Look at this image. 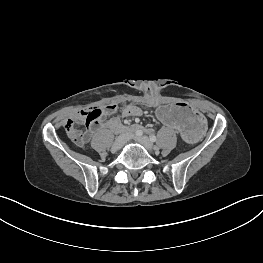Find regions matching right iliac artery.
I'll use <instances>...</instances> for the list:
<instances>
[{"instance_id": "1", "label": "right iliac artery", "mask_w": 263, "mask_h": 263, "mask_svg": "<svg viewBox=\"0 0 263 263\" xmlns=\"http://www.w3.org/2000/svg\"><path fill=\"white\" fill-rule=\"evenodd\" d=\"M134 132L137 136H141L143 134L142 130H135Z\"/></svg>"}]
</instances>
